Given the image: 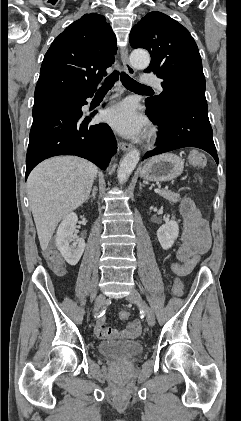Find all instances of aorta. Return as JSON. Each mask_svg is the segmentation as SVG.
Wrapping results in <instances>:
<instances>
[{
    "label": "aorta",
    "mask_w": 241,
    "mask_h": 421,
    "mask_svg": "<svg viewBox=\"0 0 241 421\" xmlns=\"http://www.w3.org/2000/svg\"><path fill=\"white\" fill-rule=\"evenodd\" d=\"M130 62L136 69H145L149 66L150 55L143 49H135L130 55ZM139 159L140 152L137 149L131 150L124 156L117 171V177L120 184H123L128 180L129 176L138 164Z\"/></svg>",
    "instance_id": "obj_1"
}]
</instances>
